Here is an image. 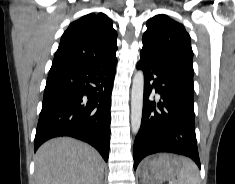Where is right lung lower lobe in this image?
Here are the masks:
<instances>
[{
	"instance_id": "98d812e1",
	"label": "right lung lower lobe",
	"mask_w": 235,
	"mask_h": 184,
	"mask_svg": "<svg viewBox=\"0 0 235 184\" xmlns=\"http://www.w3.org/2000/svg\"><path fill=\"white\" fill-rule=\"evenodd\" d=\"M116 63L51 67L36 129L34 151L51 138L71 136L95 147L108 161L110 101Z\"/></svg>"
}]
</instances>
